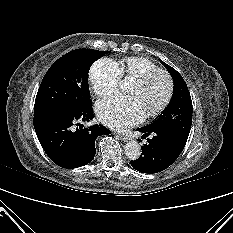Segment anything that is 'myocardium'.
Segmentation results:
<instances>
[{"label": "myocardium", "mask_w": 233, "mask_h": 233, "mask_svg": "<svg viewBox=\"0 0 233 233\" xmlns=\"http://www.w3.org/2000/svg\"><path fill=\"white\" fill-rule=\"evenodd\" d=\"M156 75H162L165 77V79L167 81L168 89H167L166 97L164 98L162 103L159 106H157L156 108L147 112V116H149V117H154V116H157L160 113H162L168 107V105L170 104V102L173 98V95H174L173 78L171 77V75L167 71H165L163 69L158 68V69L148 71V72L144 73L143 75L135 78L134 82L139 84V85H145Z\"/></svg>", "instance_id": "1"}]
</instances>
